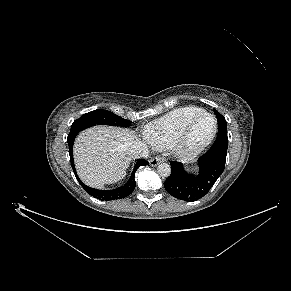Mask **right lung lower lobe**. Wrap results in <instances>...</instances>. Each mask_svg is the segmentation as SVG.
<instances>
[{
  "instance_id": "98d812e1",
  "label": "right lung lower lobe",
  "mask_w": 291,
  "mask_h": 291,
  "mask_svg": "<svg viewBox=\"0 0 291 291\" xmlns=\"http://www.w3.org/2000/svg\"><path fill=\"white\" fill-rule=\"evenodd\" d=\"M90 127V126H89ZM84 128V126H79V125H75L74 123L71 126V131L67 137V143L69 146V155H70V160H71V166L74 170L75 176L77 178V180L79 181V183L81 184V186L84 188V190L92 195L93 197L100 199V200H115V199H121V198H125L128 195H130L133 190L135 189L136 186V182H135V172L136 170L140 167V166H144V165H148L149 163L145 160V159H140L136 162L134 169L132 171L131 177L129 178V180L127 181V183L115 190H110V191H103V190H97V189H93L91 187L86 186L85 184L82 183V181L79 179L75 167H74V160H73V143L74 140L77 136V134Z\"/></svg>"
}]
</instances>
